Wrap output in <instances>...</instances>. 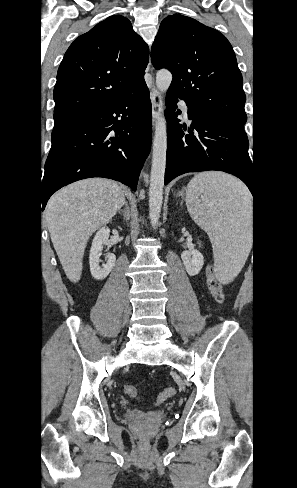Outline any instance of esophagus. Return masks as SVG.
Instances as JSON below:
<instances>
[{
  "mask_svg": "<svg viewBox=\"0 0 297 488\" xmlns=\"http://www.w3.org/2000/svg\"><path fill=\"white\" fill-rule=\"evenodd\" d=\"M150 78L152 82L151 90H150L151 102H152V116H153V122L155 123L162 110V97L158 92V90L155 88L152 72L150 74Z\"/></svg>",
  "mask_w": 297,
  "mask_h": 488,
  "instance_id": "obj_1",
  "label": "esophagus"
}]
</instances>
